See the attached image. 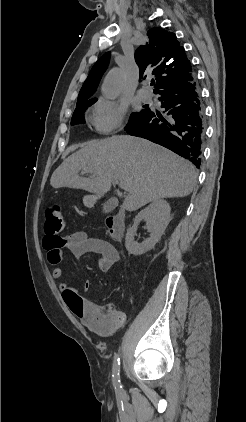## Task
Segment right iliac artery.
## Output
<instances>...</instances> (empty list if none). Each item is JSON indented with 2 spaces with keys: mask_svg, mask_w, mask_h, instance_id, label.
<instances>
[{
  "mask_svg": "<svg viewBox=\"0 0 246 422\" xmlns=\"http://www.w3.org/2000/svg\"><path fill=\"white\" fill-rule=\"evenodd\" d=\"M113 384L117 391H121L122 385L120 383V357L117 354L113 363Z\"/></svg>",
  "mask_w": 246,
  "mask_h": 422,
  "instance_id": "82829eb1",
  "label": "right iliac artery"
}]
</instances>
